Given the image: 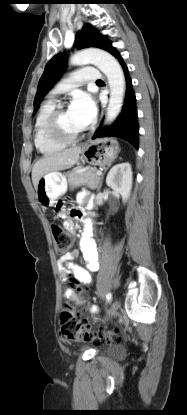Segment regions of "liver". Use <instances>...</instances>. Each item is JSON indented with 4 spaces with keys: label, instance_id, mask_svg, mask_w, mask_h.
<instances>
[{
    "label": "liver",
    "instance_id": "6515ba94",
    "mask_svg": "<svg viewBox=\"0 0 187 415\" xmlns=\"http://www.w3.org/2000/svg\"><path fill=\"white\" fill-rule=\"evenodd\" d=\"M81 147H72L61 152L44 155L33 166L32 182L36 188L38 181L47 173L66 170L73 167L79 160Z\"/></svg>",
    "mask_w": 187,
    "mask_h": 415
}]
</instances>
